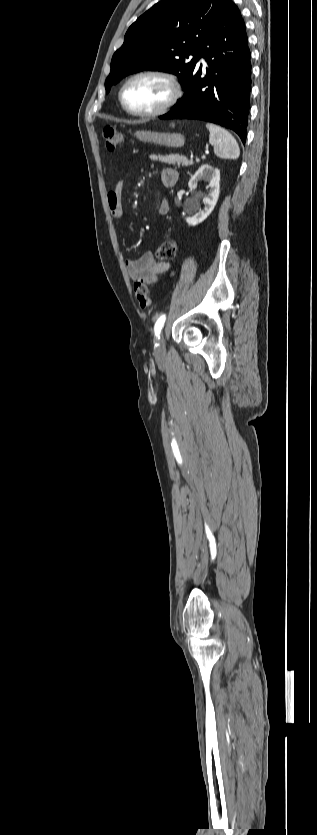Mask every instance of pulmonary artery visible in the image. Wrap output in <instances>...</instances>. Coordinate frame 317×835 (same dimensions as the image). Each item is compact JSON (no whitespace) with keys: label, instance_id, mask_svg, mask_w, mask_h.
Listing matches in <instances>:
<instances>
[{"label":"pulmonary artery","instance_id":"1","mask_svg":"<svg viewBox=\"0 0 317 835\" xmlns=\"http://www.w3.org/2000/svg\"><path fill=\"white\" fill-rule=\"evenodd\" d=\"M200 62L203 63L204 65L206 64L205 60L202 57L200 58Z\"/></svg>","mask_w":317,"mask_h":835}]
</instances>
